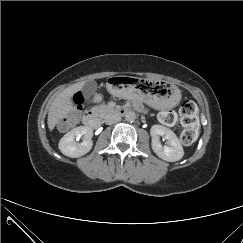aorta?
I'll return each mask as SVG.
<instances>
[{
    "instance_id": "1",
    "label": "aorta",
    "mask_w": 243,
    "mask_h": 243,
    "mask_svg": "<svg viewBox=\"0 0 243 243\" xmlns=\"http://www.w3.org/2000/svg\"><path fill=\"white\" fill-rule=\"evenodd\" d=\"M136 119V114L133 111H128L125 113V120L127 122H133Z\"/></svg>"
}]
</instances>
